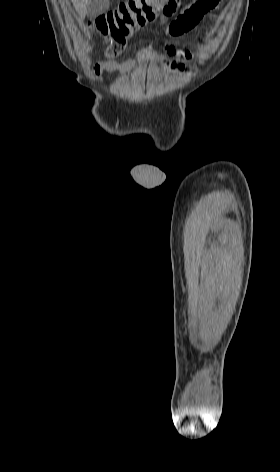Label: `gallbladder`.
I'll list each match as a JSON object with an SVG mask.
<instances>
[{"mask_svg":"<svg viewBox=\"0 0 280 472\" xmlns=\"http://www.w3.org/2000/svg\"><path fill=\"white\" fill-rule=\"evenodd\" d=\"M110 5V0H90L88 5L87 16L90 18H96L103 14Z\"/></svg>","mask_w":280,"mask_h":472,"instance_id":"bac80fb5","label":"gallbladder"}]
</instances>
